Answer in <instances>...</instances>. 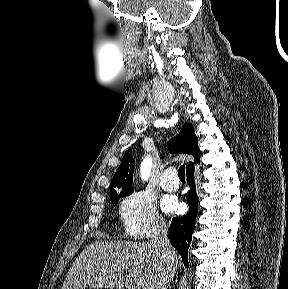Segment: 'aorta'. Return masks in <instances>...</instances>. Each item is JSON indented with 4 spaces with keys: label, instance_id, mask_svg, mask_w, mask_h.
<instances>
[{
    "label": "aorta",
    "instance_id": "obj_1",
    "mask_svg": "<svg viewBox=\"0 0 288 289\" xmlns=\"http://www.w3.org/2000/svg\"><path fill=\"white\" fill-rule=\"evenodd\" d=\"M152 160L150 157H146L141 164V177L143 180H147L151 173Z\"/></svg>",
    "mask_w": 288,
    "mask_h": 289
}]
</instances>
